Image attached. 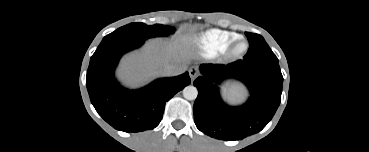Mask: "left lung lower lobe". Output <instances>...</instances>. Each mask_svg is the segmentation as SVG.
Masks as SVG:
<instances>
[{
    "mask_svg": "<svg viewBox=\"0 0 369 152\" xmlns=\"http://www.w3.org/2000/svg\"><path fill=\"white\" fill-rule=\"evenodd\" d=\"M200 70L203 76L194 81L198 97L193 109L201 132L220 140H241L261 131L272 119L282 93L278 61L243 59L228 65L202 64ZM229 77L241 80L250 90L242 106L230 107L219 95L216 84Z\"/></svg>",
    "mask_w": 369,
    "mask_h": 152,
    "instance_id": "obj_1",
    "label": "left lung lower lobe"
}]
</instances>
